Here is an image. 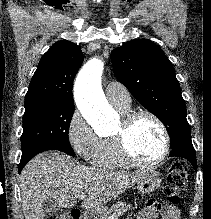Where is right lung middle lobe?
<instances>
[{
  "label": "right lung middle lobe",
  "mask_w": 211,
  "mask_h": 219,
  "mask_svg": "<svg viewBox=\"0 0 211 219\" xmlns=\"http://www.w3.org/2000/svg\"><path fill=\"white\" fill-rule=\"evenodd\" d=\"M73 113L74 106L45 100L25 103L22 157L40 150H59L74 156L68 138Z\"/></svg>",
  "instance_id": "obj_1"
}]
</instances>
